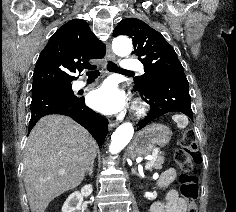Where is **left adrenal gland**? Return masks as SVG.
<instances>
[{
	"mask_svg": "<svg viewBox=\"0 0 236 212\" xmlns=\"http://www.w3.org/2000/svg\"><path fill=\"white\" fill-rule=\"evenodd\" d=\"M132 175L140 176L136 170V168H132Z\"/></svg>",
	"mask_w": 236,
	"mask_h": 212,
	"instance_id": "1",
	"label": "left adrenal gland"
}]
</instances>
